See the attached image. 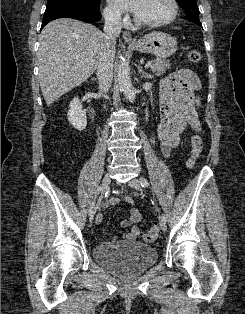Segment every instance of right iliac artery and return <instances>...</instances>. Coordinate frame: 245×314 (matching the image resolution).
Masks as SVG:
<instances>
[{
	"label": "right iliac artery",
	"instance_id": "right-iliac-artery-1",
	"mask_svg": "<svg viewBox=\"0 0 245 314\" xmlns=\"http://www.w3.org/2000/svg\"><path fill=\"white\" fill-rule=\"evenodd\" d=\"M101 189H102L101 186L98 187L96 193L99 194V193L101 192ZM100 201H101V200L99 199L98 204L96 205L97 208H98V205H99ZM93 209H96V207H95V202H94V201H93L92 204L90 205L89 212H90L91 210H93Z\"/></svg>",
	"mask_w": 245,
	"mask_h": 314
}]
</instances>
